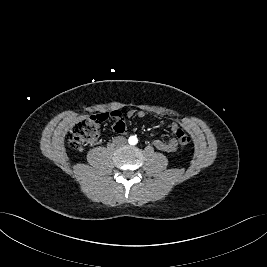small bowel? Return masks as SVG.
I'll use <instances>...</instances> for the list:
<instances>
[{
    "label": "small bowel",
    "instance_id": "c3829d8e",
    "mask_svg": "<svg viewBox=\"0 0 267 267\" xmlns=\"http://www.w3.org/2000/svg\"><path fill=\"white\" fill-rule=\"evenodd\" d=\"M137 115L139 118H143L146 113L143 110H139L138 112H134L133 110H130L126 113L127 117H132L134 115ZM106 115V114H105ZM112 120V130L117 133H124L126 131V124L124 115L120 111H112L109 114H107ZM171 130L174 132L176 129L180 128L177 124L172 123L170 124ZM154 146L164 152H174L178 148V140L176 138H170L167 140L157 139L153 142Z\"/></svg>",
    "mask_w": 267,
    "mask_h": 267
}]
</instances>
